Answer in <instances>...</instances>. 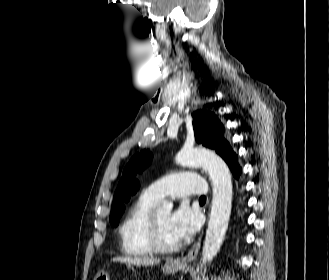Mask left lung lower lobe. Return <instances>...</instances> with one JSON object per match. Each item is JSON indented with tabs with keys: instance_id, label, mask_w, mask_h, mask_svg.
Returning a JSON list of instances; mask_svg holds the SVG:
<instances>
[{
	"instance_id": "obj_1",
	"label": "left lung lower lobe",
	"mask_w": 329,
	"mask_h": 280,
	"mask_svg": "<svg viewBox=\"0 0 329 280\" xmlns=\"http://www.w3.org/2000/svg\"><path fill=\"white\" fill-rule=\"evenodd\" d=\"M231 171L233 172L234 177L238 178L241 174V168L238 165V162L229 166Z\"/></svg>"
}]
</instances>
